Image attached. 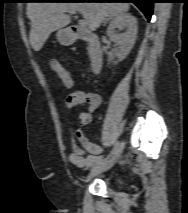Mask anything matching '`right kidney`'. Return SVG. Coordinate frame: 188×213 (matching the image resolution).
<instances>
[{"label": "right kidney", "instance_id": "obj_1", "mask_svg": "<svg viewBox=\"0 0 188 213\" xmlns=\"http://www.w3.org/2000/svg\"><path fill=\"white\" fill-rule=\"evenodd\" d=\"M125 30L124 33H118L117 30ZM137 19L129 13H123L114 16L107 28L108 37L119 46L118 63L123 61L131 52L137 38Z\"/></svg>", "mask_w": 188, "mask_h": 213}]
</instances>
